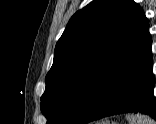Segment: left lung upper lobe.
Listing matches in <instances>:
<instances>
[{"label":"left lung upper lobe","mask_w":156,"mask_h":124,"mask_svg":"<svg viewBox=\"0 0 156 124\" xmlns=\"http://www.w3.org/2000/svg\"><path fill=\"white\" fill-rule=\"evenodd\" d=\"M149 28L133 0H94L69 20L46 75V124H78L116 63Z\"/></svg>","instance_id":"obj_1"}]
</instances>
